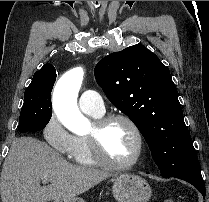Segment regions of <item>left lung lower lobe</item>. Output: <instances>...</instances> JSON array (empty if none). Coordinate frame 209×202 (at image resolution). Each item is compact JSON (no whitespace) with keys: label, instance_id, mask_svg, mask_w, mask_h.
<instances>
[{"label":"left lung lower lobe","instance_id":"left-lung-lower-lobe-1","mask_svg":"<svg viewBox=\"0 0 209 202\" xmlns=\"http://www.w3.org/2000/svg\"><path fill=\"white\" fill-rule=\"evenodd\" d=\"M163 177H165V178L175 177V178H179L184 181H187L190 184H192L193 186H195L201 192L203 197L205 198V194H206L205 184H204V180L201 175L200 164L198 161L192 163L186 169H184L183 171H181L179 173H176L172 176H163Z\"/></svg>","mask_w":209,"mask_h":202}]
</instances>
